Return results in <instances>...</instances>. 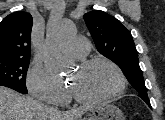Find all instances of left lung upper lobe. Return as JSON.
Listing matches in <instances>:
<instances>
[{
  "instance_id": "1",
  "label": "left lung upper lobe",
  "mask_w": 165,
  "mask_h": 120,
  "mask_svg": "<svg viewBox=\"0 0 165 120\" xmlns=\"http://www.w3.org/2000/svg\"><path fill=\"white\" fill-rule=\"evenodd\" d=\"M84 20L98 51L121 68L128 81L139 92L138 96L151 106L138 54L128 29L115 17L101 10L84 14Z\"/></svg>"
}]
</instances>
